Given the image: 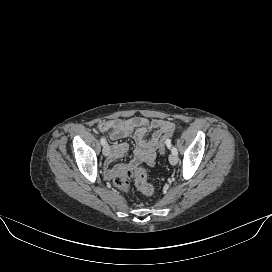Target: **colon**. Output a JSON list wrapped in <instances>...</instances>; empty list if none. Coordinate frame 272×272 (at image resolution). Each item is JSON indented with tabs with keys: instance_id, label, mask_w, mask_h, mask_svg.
Wrapping results in <instances>:
<instances>
[{
	"instance_id": "1",
	"label": "colon",
	"mask_w": 272,
	"mask_h": 272,
	"mask_svg": "<svg viewBox=\"0 0 272 272\" xmlns=\"http://www.w3.org/2000/svg\"><path fill=\"white\" fill-rule=\"evenodd\" d=\"M173 131L166 133L158 146L159 153L163 154L171 141ZM134 181L136 187L144 194H151L153 186L147 180L146 171L138 165H130L118 171L114 178V185L124 192L130 190V183Z\"/></svg>"
}]
</instances>
